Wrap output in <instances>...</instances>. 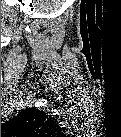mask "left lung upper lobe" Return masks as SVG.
I'll list each match as a JSON object with an SVG mask.
<instances>
[{
	"label": "left lung upper lobe",
	"mask_w": 121,
	"mask_h": 137,
	"mask_svg": "<svg viewBox=\"0 0 121 137\" xmlns=\"http://www.w3.org/2000/svg\"><path fill=\"white\" fill-rule=\"evenodd\" d=\"M57 129L58 125L50 115L30 108L2 124L1 135L36 136L38 134H49Z\"/></svg>",
	"instance_id": "left-lung-upper-lobe-1"
}]
</instances>
